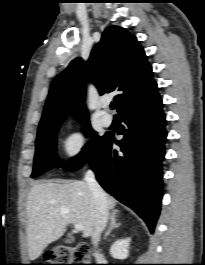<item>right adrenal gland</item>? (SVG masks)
<instances>
[{"mask_svg": "<svg viewBox=\"0 0 205 265\" xmlns=\"http://www.w3.org/2000/svg\"><path fill=\"white\" fill-rule=\"evenodd\" d=\"M116 217H117L116 212H113L111 215V223H110V226H109L107 232L104 235V239H106L110 235V233L112 232L113 229H116V228L121 226L120 223L116 222Z\"/></svg>", "mask_w": 205, "mask_h": 265, "instance_id": "2a0ac1e0", "label": "right adrenal gland"}]
</instances>
